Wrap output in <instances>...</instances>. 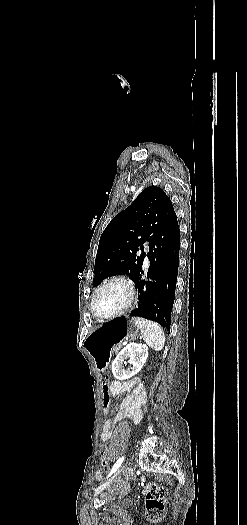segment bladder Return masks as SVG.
I'll return each instance as SVG.
<instances>
[{
	"instance_id": "bladder-1",
	"label": "bladder",
	"mask_w": 247,
	"mask_h": 525,
	"mask_svg": "<svg viewBox=\"0 0 247 525\" xmlns=\"http://www.w3.org/2000/svg\"><path fill=\"white\" fill-rule=\"evenodd\" d=\"M131 502H132V501H131L130 498H128V497H124V499H123V501H122V504H124V505H129V504H131Z\"/></svg>"
}]
</instances>
